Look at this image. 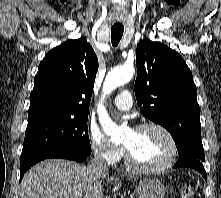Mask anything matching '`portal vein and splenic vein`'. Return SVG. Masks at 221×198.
Segmentation results:
<instances>
[{
    "mask_svg": "<svg viewBox=\"0 0 221 198\" xmlns=\"http://www.w3.org/2000/svg\"><path fill=\"white\" fill-rule=\"evenodd\" d=\"M82 195H74L71 198H81Z\"/></svg>",
    "mask_w": 221,
    "mask_h": 198,
    "instance_id": "18ae733b",
    "label": "portal vein and splenic vein"
}]
</instances>
